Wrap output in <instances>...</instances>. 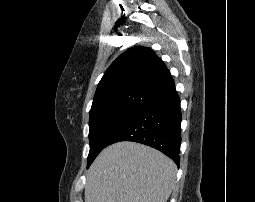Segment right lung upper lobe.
Here are the masks:
<instances>
[{
	"label": "right lung upper lobe",
	"mask_w": 255,
	"mask_h": 202,
	"mask_svg": "<svg viewBox=\"0 0 255 202\" xmlns=\"http://www.w3.org/2000/svg\"><path fill=\"white\" fill-rule=\"evenodd\" d=\"M175 91L174 81L153 50L136 46L121 54L98 84L90 116L117 109L139 110Z\"/></svg>",
	"instance_id": "1"
}]
</instances>
